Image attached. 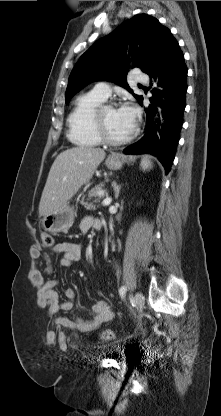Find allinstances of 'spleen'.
<instances>
[{
  "label": "spleen",
  "mask_w": 221,
  "mask_h": 416,
  "mask_svg": "<svg viewBox=\"0 0 221 416\" xmlns=\"http://www.w3.org/2000/svg\"><path fill=\"white\" fill-rule=\"evenodd\" d=\"M142 170H148L152 168V162L151 160L146 156L144 158H142L141 160V164H140Z\"/></svg>",
  "instance_id": "1"
}]
</instances>
